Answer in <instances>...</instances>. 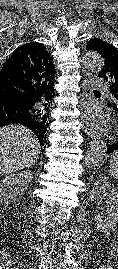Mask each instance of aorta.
Masks as SVG:
<instances>
[{
    "instance_id": "aorta-1",
    "label": "aorta",
    "mask_w": 118,
    "mask_h": 269,
    "mask_svg": "<svg viewBox=\"0 0 118 269\" xmlns=\"http://www.w3.org/2000/svg\"><path fill=\"white\" fill-rule=\"evenodd\" d=\"M86 68L94 72H100L104 65L103 58L94 52L86 53L83 57ZM107 146L103 138L99 135L94 136L86 152L84 164L88 169H95L103 163L106 156Z\"/></svg>"
}]
</instances>
